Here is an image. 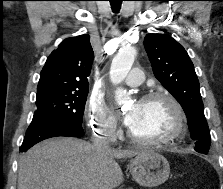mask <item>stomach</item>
<instances>
[{"label": "stomach", "mask_w": 223, "mask_h": 189, "mask_svg": "<svg viewBox=\"0 0 223 189\" xmlns=\"http://www.w3.org/2000/svg\"><path fill=\"white\" fill-rule=\"evenodd\" d=\"M133 179L145 187H155L164 183L170 174L167 159L153 151H142L130 163Z\"/></svg>", "instance_id": "0dacf381"}]
</instances>
